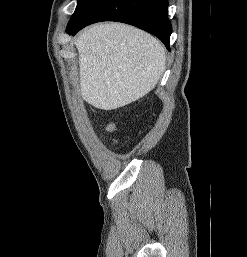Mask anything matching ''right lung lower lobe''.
Masks as SVG:
<instances>
[{"label": "right lung lower lobe", "instance_id": "right-lung-lower-lobe-1", "mask_svg": "<svg viewBox=\"0 0 247 257\" xmlns=\"http://www.w3.org/2000/svg\"><path fill=\"white\" fill-rule=\"evenodd\" d=\"M167 8V0H94L76 23L68 24L66 32L75 35L89 24L117 21L155 35L169 49L172 26L167 17Z\"/></svg>", "mask_w": 247, "mask_h": 257}]
</instances>
